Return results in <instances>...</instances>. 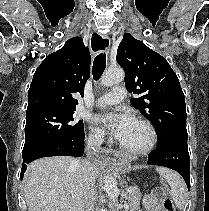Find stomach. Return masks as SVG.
Here are the masks:
<instances>
[{
    "label": "stomach",
    "instance_id": "0dacf381",
    "mask_svg": "<svg viewBox=\"0 0 209 211\" xmlns=\"http://www.w3.org/2000/svg\"><path fill=\"white\" fill-rule=\"evenodd\" d=\"M129 165V161L127 159H122L120 163L122 173L125 172L127 166Z\"/></svg>",
    "mask_w": 209,
    "mask_h": 211
}]
</instances>
